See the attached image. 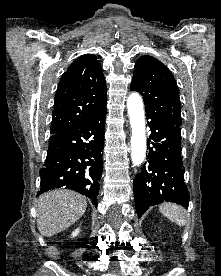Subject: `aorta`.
I'll return each instance as SVG.
<instances>
[{
    "label": "aorta",
    "instance_id": "1",
    "mask_svg": "<svg viewBox=\"0 0 221 276\" xmlns=\"http://www.w3.org/2000/svg\"><path fill=\"white\" fill-rule=\"evenodd\" d=\"M127 108L132 128L131 159L135 166H139L146 154V136L143 102L138 93L128 96Z\"/></svg>",
    "mask_w": 221,
    "mask_h": 276
}]
</instances>
